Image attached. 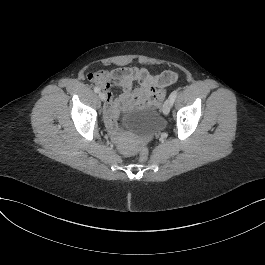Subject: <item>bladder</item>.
Wrapping results in <instances>:
<instances>
[{
  "mask_svg": "<svg viewBox=\"0 0 265 265\" xmlns=\"http://www.w3.org/2000/svg\"><path fill=\"white\" fill-rule=\"evenodd\" d=\"M159 109L148 107L144 109H135L124 119V125L137 133H150L159 129Z\"/></svg>",
  "mask_w": 265,
  "mask_h": 265,
  "instance_id": "obj_1",
  "label": "bladder"
}]
</instances>
